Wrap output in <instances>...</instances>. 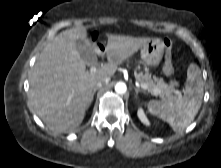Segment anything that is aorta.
I'll return each instance as SVG.
<instances>
[{
  "label": "aorta",
  "instance_id": "1",
  "mask_svg": "<svg viewBox=\"0 0 221 168\" xmlns=\"http://www.w3.org/2000/svg\"><path fill=\"white\" fill-rule=\"evenodd\" d=\"M115 91H116V93H118V94H124V93H126V91H127L126 84L123 83V82H118V83L115 85Z\"/></svg>",
  "mask_w": 221,
  "mask_h": 168
}]
</instances>
